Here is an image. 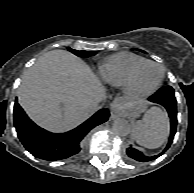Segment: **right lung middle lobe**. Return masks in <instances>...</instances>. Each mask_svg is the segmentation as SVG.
<instances>
[{"label":"right lung middle lobe","mask_w":194,"mask_h":193,"mask_svg":"<svg viewBox=\"0 0 194 193\" xmlns=\"http://www.w3.org/2000/svg\"><path fill=\"white\" fill-rule=\"evenodd\" d=\"M69 51H71L72 53H74L75 55L79 56V57H89V56H93L96 54V52H88V51H78V50H74L71 48H68Z\"/></svg>","instance_id":"1"}]
</instances>
